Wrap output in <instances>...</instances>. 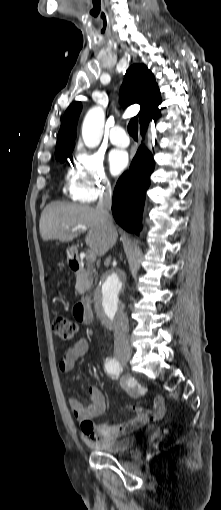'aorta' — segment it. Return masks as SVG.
Segmentation results:
<instances>
[{"instance_id": "762f6f07", "label": "aorta", "mask_w": 221, "mask_h": 510, "mask_svg": "<svg viewBox=\"0 0 221 510\" xmlns=\"http://www.w3.org/2000/svg\"><path fill=\"white\" fill-rule=\"evenodd\" d=\"M105 115L101 107L95 106L86 114L82 124L85 145L94 148L100 143L104 131ZM124 279L116 272L108 274L96 292L97 310L108 322L115 323L121 315L120 296Z\"/></svg>"}]
</instances>
